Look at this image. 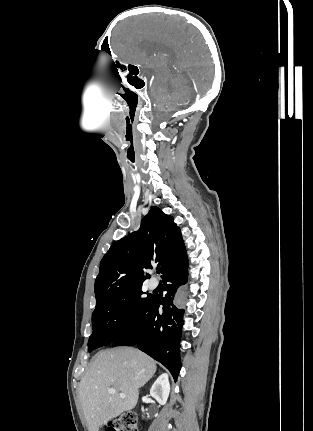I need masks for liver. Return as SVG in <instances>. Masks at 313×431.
<instances>
[{
    "label": "liver",
    "instance_id": "1",
    "mask_svg": "<svg viewBox=\"0 0 313 431\" xmlns=\"http://www.w3.org/2000/svg\"><path fill=\"white\" fill-rule=\"evenodd\" d=\"M155 372L156 362L137 349L118 347L98 352L79 384L89 431H99L111 419L132 410L138 401L139 388ZM109 388L116 392L109 394Z\"/></svg>",
    "mask_w": 313,
    "mask_h": 431
}]
</instances>
